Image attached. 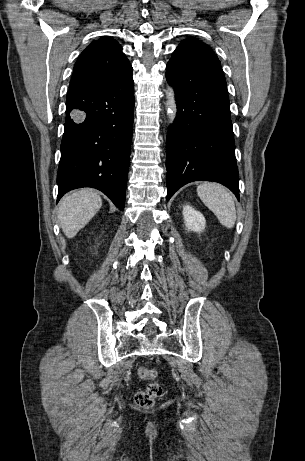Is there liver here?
<instances>
[{
    "instance_id": "liver-1",
    "label": "liver",
    "mask_w": 305,
    "mask_h": 461,
    "mask_svg": "<svg viewBox=\"0 0 305 461\" xmlns=\"http://www.w3.org/2000/svg\"><path fill=\"white\" fill-rule=\"evenodd\" d=\"M101 197L91 189L83 188L62 198L58 221L67 236L73 238L100 210Z\"/></svg>"
}]
</instances>
